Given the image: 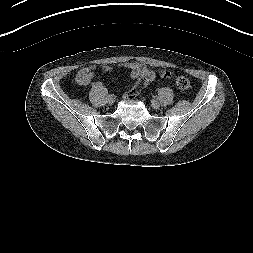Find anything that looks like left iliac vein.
Wrapping results in <instances>:
<instances>
[{
	"mask_svg": "<svg viewBox=\"0 0 253 253\" xmlns=\"http://www.w3.org/2000/svg\"><path fill=\"white\" fill-rule=\"evenodd\" d=\"M152 106L154 109H158L160 107V104L157 100H152Z\"/></svg>",
	"mask_w": 253,
	"mask_h": 253,
	"instance_id": "left-iliac-vein-1",
	"label": "left iliac vein"
}]
</instances>
